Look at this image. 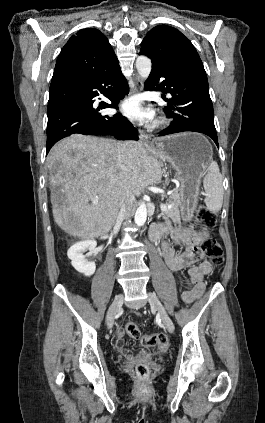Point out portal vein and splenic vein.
Returning a JSON list of instances; mask_svg holds the SVG:
<instances>
[{
    "label": "portal vein and splenic vein",
    "mask_w": 265,
    "mask_h": 423,
    "mask_svg": "<svg viewBox=\"0 0 265 423\" xmlns=\"http://www.w3.org/2000/svg\"><path fill=\"white\" fill-rule=\"evenodd\" d=\"M92 204H94V205L98 204V200L97 199H93L92 200ZM160 208H161V211L162 212H165L169 208V206H166L164 203H161Z\"/></svg>",
    "instance_id": "portal-vein-and-splenic-vein-1"
}]
</instances>
